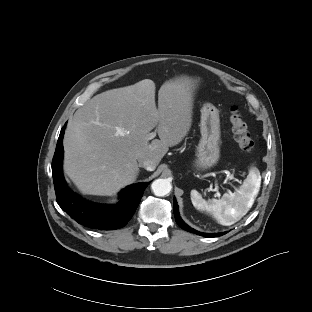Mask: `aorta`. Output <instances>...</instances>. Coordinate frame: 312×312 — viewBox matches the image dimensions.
Returning a JSON list of instances; mask_svg holds the SVG:
<instances>
[{
	"label": "aorta",
	"instance_id": "aorta-1",
	"mask_svg": "<svg viewBox=\"0 0 312 312\" xmlns=\"http://www.w3.org/2000/svg\"><path fill=\"white\" fill-rule=\"evenodd\" d=\"M151 189L156 196H165L170 193L172 186L167 179H156L153 181Z\"/></svg>",
	"mask_w": 312,
	"mask_h": 312
}]
</instances>
